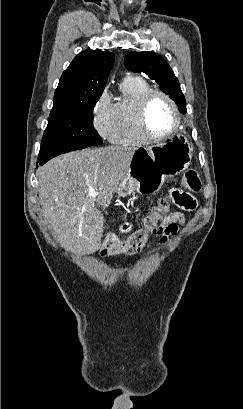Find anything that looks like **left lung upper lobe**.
Returning a JSON list of instances; mask_svg holds the SVG:
<instances>
[{
    "label": "left lung upper lobe",
    "instance_id": "left-lung-upper-lobe-1",
    "mask_svg": "<svg viewBox=\"0 0 243 409\" xmlns=\"http://www.w3.org/2000/svg\"><path fill=\"white\" fill-rule=\"evenodd\" d=\"M124 62L127 69L133 72H144L155 80L162 91L175 101L180 111L183 114L186 113V101L179 81L160 55L150 51L132 52L125 57Z\"/></svg>",
    "mask_w": 243,
    "mask_h": 409
}]
</instances>
